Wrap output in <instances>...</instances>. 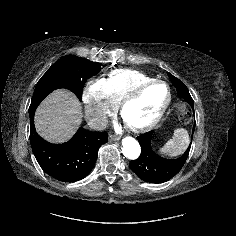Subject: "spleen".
Masks as SVG:
<instances>
[{"label": "spleen", "instance_id": "spleen-1", "mask_svg": "<svg viewBox=\"0 0 236 236\" xmlns=\"http://www.w3.org/2000/svg\"><path fill=\"white\" fill-rule=\"evenodd\" d=\"M189 142L190 139L187 130L178 128L174 131L173 137L159 149V153L170 157H176L187 149Z\"/></svg>", "mask_w": 236, "mask_h": 236}]
</instances>
